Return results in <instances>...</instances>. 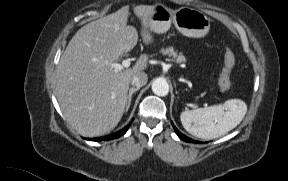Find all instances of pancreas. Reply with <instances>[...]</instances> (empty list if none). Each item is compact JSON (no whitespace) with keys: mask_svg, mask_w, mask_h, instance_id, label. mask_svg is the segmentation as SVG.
Instances as JSON below:
<instances>
[{"mask_svg":"<svg viewBox=\"0 0 288 181\" xmlns=\"http://www.w3.org/2000/svg\"><path fill=\"white\" fill-rule=\"evenodd\" d=\"M161 53L163 55H168L169 57H173V60L177 63H184L186 61L185 57L182 53H177L173 47H167L166 49H161Z\"/></svg>","mask_w":288,"mask_h":181,"instance_id":"obj_1","label":"pancreas"}]
</instances>
